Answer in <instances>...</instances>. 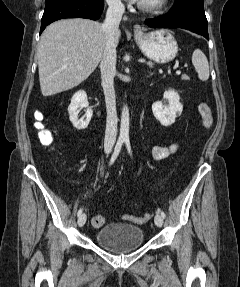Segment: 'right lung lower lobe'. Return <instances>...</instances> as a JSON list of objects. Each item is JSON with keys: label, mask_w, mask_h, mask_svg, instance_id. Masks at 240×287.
Segmentation results:
<instances>
[{"label": "right lung lower lobe", "mask_w": 240, "mask_h": 287, "mask_svg": "<svg viewBox=\"0 0 240 287\" xmlns=\"http://www.w3.org/2000/svg\"><path fill=\"white\" fill-rule=\"evenodd\" d=\"M103 8V0H46L40 33L50 23L63 18L80 17L96 20Z\"/></svg>", "instance_id": "obj_1"}]
</instances>
